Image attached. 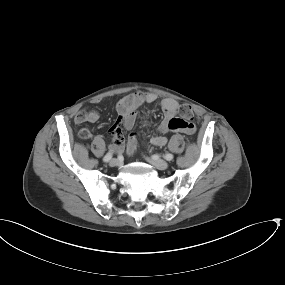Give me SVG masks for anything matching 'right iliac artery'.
I'll list each match as a JSON object with an SVG mask.
<instances>
[{
    "label": "right iliac artery",
    "instance_id": "right-iliac-artery-1",
    "mask_svg": "<svg viewBox=\"0 0 285 285\" xmlns=\"http://www.w3.org/2000/svg\"><path fill=\"white\" fill-rule=\"evenodd\" d=\"M111 158H112V153L109 152L104 156L103 161L108 162V161H110Z\"/></svg>",
    "mask_w": 285,
    "mask_h": 285
}]
</instances>
